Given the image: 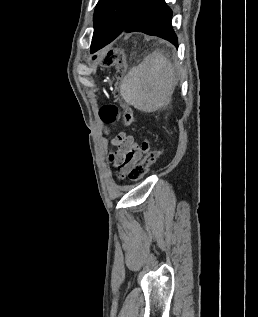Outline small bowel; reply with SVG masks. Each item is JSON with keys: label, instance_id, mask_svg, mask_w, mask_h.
<instances>
[{"label": "small bowel", "instance_id": "c3829d8e", "mask_svg": "<svg viewBox=\"0 0 258 317\" xmlns=\"http://www.w3.org/2000/svg\"><path fill=\"white\" fill-rule=\"evenodd\" d=\"M116 150L109 153V162L117 169L119 178H124L129 170L140 161L145 151L150 147L149 141L139 144L132 135L125 132L119 133L112 141Z\"/></svg>", "mask_w": 258, "mask_h": 317}]
</instances>
